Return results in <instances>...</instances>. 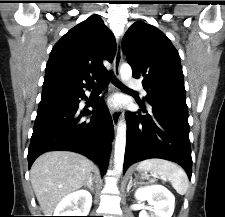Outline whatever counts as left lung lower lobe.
I'll list each match as a JSON object with an SVG mask.
<instances>
[{
  "label": "left lung lower lobe",
  "instance_id": "left-lung-lower-lobe-1",
  "mask_svg": "<svg viewBox=\"0 0 225 217\" xmlns=\"http://www.w3.org/2000/svg\"><path fill=\"white\" fill-rule=\"evenodd\" d=\"M151 109L139 104L146 115L126 112L127 140L123 171L149 158H162L181 165L189 179L192 158L186 100H147Z\"/></svg>",
  "mask_w": 225,
  "mask_h": 217
}]
</instances>
